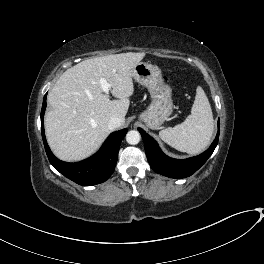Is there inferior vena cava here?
<instances>
[{
	"label": "inferior vena cava",
	"instance_id": "obj_1",
	"mask_svg": "<svg viewBox=\"0 0 264 264\" xmlns=\"http://www.w3.org/2000/svg\"><path fill=\"white\" fill-rule=\"evenodd\" d=\"M122 124L123 120L120 117L114 116L109 120L108 127L109 129L113 130L115 128L120 127Z\"/></svg>",
	"mask_w": 264,
	"mask_h": 264
}]
</instances>
